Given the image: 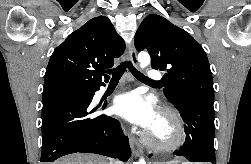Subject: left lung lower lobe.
Wrapping results in <instances>:
<instances>
[{
  "mask_svg": "<svg viewBox=\"0 0 251 164\" xmlns=\"http://www.w3.org/2000/svg\"><path fill=\"white\" fill-rule=\"evenodd\" d=\"M185 122L186 141L174 154L191 162L216 164L213 103L188 100L175 106Z\"/></svg>",
  "mask_w": 251,
  "mask_h": 164,
  "instance_id": "0a47b994",
  "label": "left lung lower lobe"
}]
</instances>
